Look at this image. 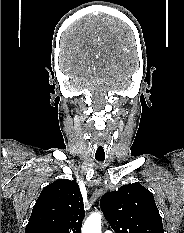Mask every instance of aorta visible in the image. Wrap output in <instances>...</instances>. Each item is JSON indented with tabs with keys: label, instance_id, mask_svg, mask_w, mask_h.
<instances>
[{
	"label": "aorta",
	"instance_id": "obj_1",
	"mask_svg": "<svg viewBox=\"0 0 184 233\" xmlns=\"http://www.w3.org/2000/svg\"><path fill=\"white\" fill-rule=\"evenodd\" d=\"M101 219L99 212H93L84 222L82 233H101Z\"/></svg>",
	"mask_w": 184,
	"mask_h": 233
}]
</instances>
